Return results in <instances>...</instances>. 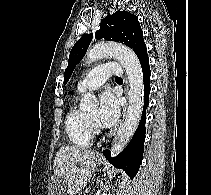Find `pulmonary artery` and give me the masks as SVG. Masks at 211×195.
Returning <instances> with one entry per match:
<instances>
[{
	"instance_id": "pulmonary-artery-1",
	"label": "pulmonary artery",
	"mask_w": 211,
	"mask_h": 195,
	"mask_svg": "<svg viewBox=\"0 0 211 195\" xmlns=\"http://www.w3.org/2000/svg\"><path fill=\"white\" fill-rule=\"evenodd\" d=\"M121 75V68L117 63H107L92 69L77 85L79 92L95 90L102 86L111 75Z\"/></svg>"
}]
</instances>
